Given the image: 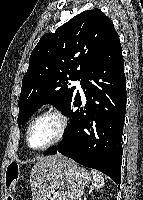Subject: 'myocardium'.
<instances>
[{
	"label": "myocardium",
	"mask_w": 143,
	"mask_h": 200,
	"mask_svg": "<svg viewBox=\"0 0 143 200\" xmlns=\"http://www.w3.org/2000/svg\"><path fill=\"white\" fill-rule=\"evenodd\" d=\"M48 116L54 117L59 121L60 128H59L58 134L52 141H50L46 145L39 147V148H34L30 145V142H29V135H30L31 128L35 124V122H37L39 119L48 117ZM68 127H69V119L66 116V114L63 111H61L60 109L54 108V109H48L46 111H43L40 114H38L37 116H35L28 124L26 134H25L26 144L29 148L36 150V151L46 150V149L58 144L59 142H61L63 140V138L65 137V135L68 131Z\"/></svg>",
	"instance_id": "1"
}]
</instances>
